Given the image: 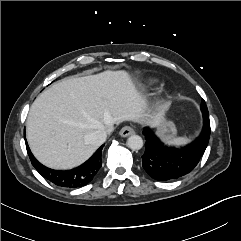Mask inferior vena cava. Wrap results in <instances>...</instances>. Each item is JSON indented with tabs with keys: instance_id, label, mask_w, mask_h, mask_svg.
I'll use <instances>...</instances> for the list:
<instances>
[{
	"instance_id": "1",
	"label": "inferior vena cava",
	"mask_w": 241,
	"mask_h": 241,
	"mask_svg": "<svg viewBox=\"0 0 241 241\" xmlns=\"http://www.w3.org/2000/svg\"><path fill=\"white\" fill-rule=\"evenodd\" d=\"M106 138L107 132L105 129L95 130L86 136L87 141L94 146L102 145L106 141Z\"/></svg>"
}]
</instances>
